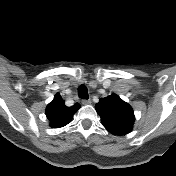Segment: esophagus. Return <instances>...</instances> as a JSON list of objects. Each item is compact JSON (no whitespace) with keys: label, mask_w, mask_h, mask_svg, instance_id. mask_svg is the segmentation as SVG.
I'll return each mask as SVG.
<instances>
[{"label":"esophagus","mask_w":176,"mask_h":176,"mask_svg":"<svg viewBox=\"0 0 176 176\" xmlns=\"http://www.w3.org/2000/svg\"><path fill=\"white\" fill-rule=\"evenodd\" d=\"M82 104L83 105H89V104H91V99H83L82 100Z\"/></svg>","instance_id":"1"}]
</instances>
